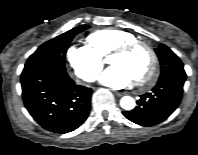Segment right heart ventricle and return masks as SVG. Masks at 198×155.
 Returning a JSON list of instances; mask_svg holds the SVG:
<instances>
[{"label": "right heart ventricle", "mask_w": 198, "mask_h": 155, "mask_svg": "<svg viewBox=\"0 0 198 155\" xmlns=\"http://www.w3.org/2000/svg\"><path fill=\"white\" fill-rule=\"evenodd\" d=\"M136 40V37L124 30L106 28L91 33L88 41L91 46L102 56H108L120 45Z\"/></svg>", "instance_id": "e07e8e85"}]
</instances>
